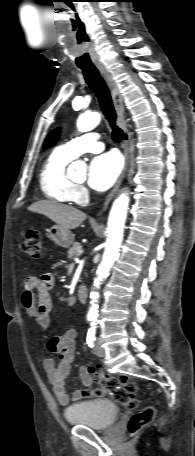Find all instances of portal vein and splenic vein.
<instances>
[{"label":"portal vein and splenic vein","mask_w":195,"mask_h":456,"mask_svg":"<svg viewBox=\"0 0 195 456\" xmlns=\"http://www.w3.org/2000/svg\"><path fill=\"white\" fill-rule=\"evenodd\" d=\"M82 253H83V249H82L81 246H79V247L77 248V255H80V254H82Z\"/></svg>","instance_id":"obj_1"}]
</instances>
